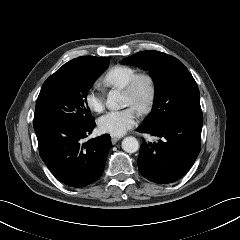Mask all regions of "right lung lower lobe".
<instances>
[{"instance_id": "right-lung-lower-lobe-1", "label": "right lung lower lobe", "mask_w": 240, "mask_h": 240, "mask_svg": "<svg viewBox=\"0 0 240 240\" xmlns=\"http://www.w3.org/2000/svg\"><path fill=\"white\" fill-rule=\"evenodd\" d=\"M94 127L95 120L82 126L49 120L34 122L42 160L57 179L70 187H85L103 173L112 143L107 134L83 143Z\"/></svg>"}]
</instances>
